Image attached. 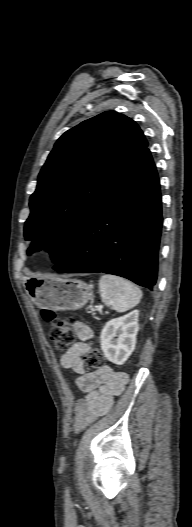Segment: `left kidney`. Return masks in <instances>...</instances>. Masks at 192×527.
Wrapping results in <instances>:
<instances>
[{
    "label": "left kidney",
    "instance_id": "1",
    "mask_svg": "<svg viewBox=\"0 0 192 527\" xmlns=\"http://www.w3.org/2000/svg\"><path fill=\"white\" fill-rule=\"evenodd\" d=\"M138 316L139 312L134 310L105 324L100 336L101 349L110 362L122 365L133 353L139 330Z\"/></svg>",
    "mask_w": 192,
    "mask_h": 527
}]
</instances>
